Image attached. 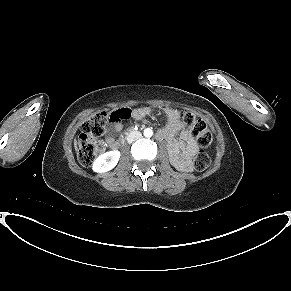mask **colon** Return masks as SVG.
<instances>
[{"mask_svg":"<svg viewBox=\"0 0 291 291\" xmlns=\"http://www.w3.org/2000/svg\"><path fill=\"white\" fill-rule=\"evenodd\" d=\"M129 108H122L111 113L99 112L85 122L82 126V131L79 136V151L78 158L83 166H90L95 158L101 154L105 146L98 139L104 134L107 124L113 121L126 120L131 117ZM181 119L185 127L196 136L197 143L201 150L196 155L193 166L197 171L205 170L210 164V156L205 151L211 147L213 137L207 128L206 123L198 119L191 112L180 113Z\"/></svg>","mask_w":291,"mask_h":291,"instance_id":"1","label":"colon"}]
</instances>
